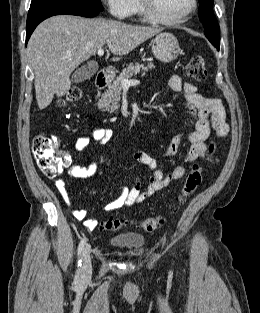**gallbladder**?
Segmentation results:
<instances>
[{
  "instance_id": "obj_1",
  "label": "gallbladder",
  "mask_w": 260,
  "mask_h": 313,
  "mask_svg": "<svg viewBox=\"0 0 260 313\" xmlns=\"http://www.w3.org/2000/svg\"><path fill=\"white\" fill-rule=\"evenodd\" d=\"M96 71L97 66L95 64L83 66L73 73L71 80L73 83L84 82L89 80L96 73Z\"/></svg>"
}]
</instances>
